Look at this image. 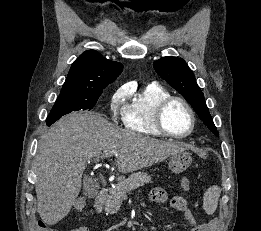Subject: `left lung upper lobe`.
<instances>
[{"label": "left lung upper lobe", "mask_w": 261, "mask_h": 231, "mask_svg": "<svg viewBox=\"0 0 261 231\" xmlns=\"http://www.w3.org/2000/svg\"><path fill=\"white\" fill-rule=\"evenodd\" d=\"M153 66L158 75L191 104L204 124L218 136L204 95L186 62L181 58L168 56L155 61Z\"/></svg>", "instance_id": "5c2ea615"}]
</instances>
